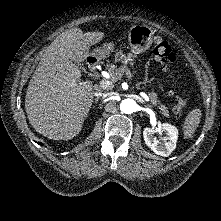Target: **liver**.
I'll list each match as a JSON object with an SVG mask.
<instances>
[{"label":"liver","mask_w":221,"mask_h":221,"mask_svg":"<svg viewBox=\"0 0 221 221\" xmlns=\"http://www.w3.org/2000/svg\"><path fill=\"white\" fill-rule=\"evenodd\" d=\"M103 32L84 33L71 28L58 35L41 58L28 85L25 109L30 124L54 140H70L82 130L93 102V85L79 81L74 62L90 56V46L103 40Z\"/></svg>","instance_id":"liver-1"}]
</instances>
